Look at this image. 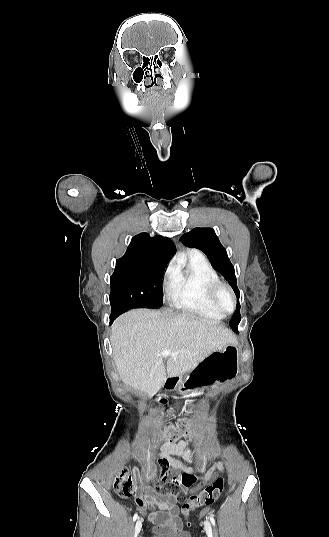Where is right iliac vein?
<instances>
[{
  "mask_svg": "<svg viewBox=\"0 0 329 537\" xmlns=\"http://www.w3.org/2000/svg\"><path fill=\"white\" fill-rule=\"evenodd\" d=\"M141 528H142V522L140 520H138L136 522V525H135V528H134V537H137V535L140 533L141 531Z\"/></svg>",
  "mask_w": 329,
  "mask_h": 537,
  "instance_id": "63e3f726",
  "label": "right iliac vein"
}]
</instances>
